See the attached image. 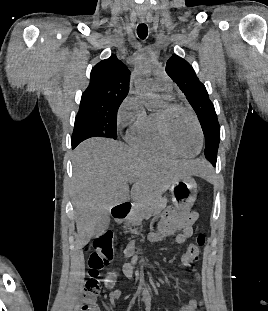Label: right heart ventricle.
Segmentation results:
<instances>
[{
    "mask_svg": "<svg viewBox=\"0 0 268 311\" xmlns=\"http://www.w3.org/2000/svg\"><path fill=\"white\" fill-rule=\"evenodd\" d=\"M168 101L170 97H165ZM127 141L135 148L152 153L173 155L163 142L158 127V112L145 113L129 129Z\"/></svg>",
    "mask_w": 268,
    "mask_h": 311,
    "instance_id": "1",
    "label": "right heart ventricle"
}]
</instances>
